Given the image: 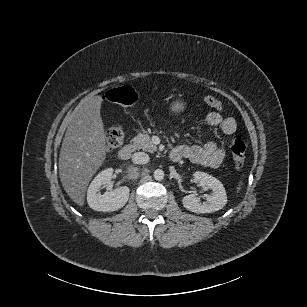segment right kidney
I'll return each mask as SVG.
<instances>
[{"label":"right kidney","instance_id":"right-kidney-1","mask_svg":"<svg viewBox=\"0 0 307 307\" xmlns=\"http://www.w3.org/2000/svg\"><path fill=\"white\" fill-rule=\"evenodd\" d=\"M112 178V170L102 171L91 183L87 200L89 206L99 212H112L121 209L126 205L129 199L130 190L128 187H119L112 190L110 181ZM107 188L103 194L100 193L102 188Z\"/></svg>","mask_w":307,"mask_h":307}]
</instances>
